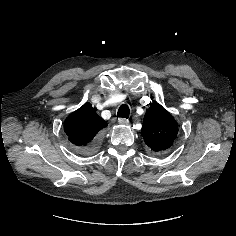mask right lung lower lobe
I'll return each mask as SVG.
<instances>
[{"mask_svg":"<svg viewBox=\"0 0 236 236\" xmlns=\"http://www.w3.org/2000/svg\"><path fill=\"white\" fill-rule=\"evenodd\" d=\"M99 146V142L97 140H94L90 145H88L86 148H83L81 150L84 154H90L94 152Z\"/></svg>","mask_w":236,"mask_h":236,"instance_id":"1","label":"right lung lower lobe"}]
</instances>
